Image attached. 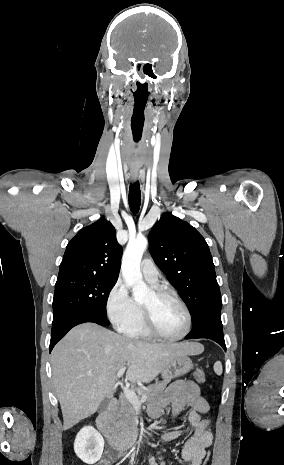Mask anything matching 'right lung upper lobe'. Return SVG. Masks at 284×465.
I'll use <instances>...</instances> for the list:
<instances>
[{
	"label": "right lung upper lobe",
	"mask_w": 284,
	"mask_h": 465,
	"mask_svg": "<svg viewBox=\"0 0 284 465\" xmlns=\"http://www.w3.org/2000/svg\"><path fill=\"white\" fill-rule=\"evenodd\" d=\"M122 247L104 217L81 229L68 243L58 278L90 276L118 279Z\"/></svg>",
	"instance_id": "1"
}]
</instances>
